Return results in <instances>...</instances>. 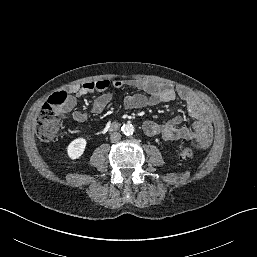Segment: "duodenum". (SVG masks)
Returning a JSON list of instances; mask_svg holds the SVG:
<instances>
[{"label": "duodenum", "instance_id": "1", "mask_svg": "<svg viewBox=\"0 0 257 257\" xmlns=\"http://www.w3.org/2000/svg\"><path fill=\"white\" fill-rule=\"evenodd\" d=\"M119 127V124L118 123H112L111 125H110V129L111 130H115V129H117Z\"/></svg>", "mask_w": 257, "mask_h": 257}]
</instances>
